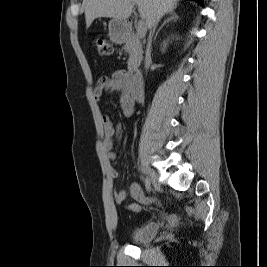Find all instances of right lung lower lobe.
Instances as JSON below:
<instances>
[{"label":"right lung lower lobe","instance_id":"obj_1","mask_svg":"<svg viewBox=\"0 0 267 267\" xmlns=\"http://www.w3.org/2000/svg\"><path fill=\"white\" fill-rule=\"evenodd\" d=\"M193 1L199 3L200 5H203V0H193Z\"/></svg>","mask_w":267,"mask_h":267}]
</instances>
